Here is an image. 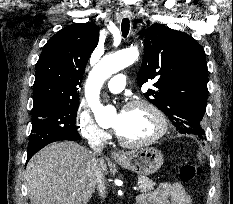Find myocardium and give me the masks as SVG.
<instances>
[{"instance_id": "f54148a6", "label": "myocardium", "mask_w": 233, "mask_h": 204, "mask_svg": "<svg viewBox=\"0 0 233 204\" xmlns=\"http://www.w3.org/2000/svg\"><path fill=\"white\" fill-rule=\"evenodd\" d=\"M135 107H145L152 112V114L156 117L159 123V128L157 132L153 134L151 137L139 141H130L124 139L118 134H116V137L118 141L126 147L139 148V147L150 146L156 143L157 141H159L161 138H163L166 135L169 127L168 119L166 115L163 113V111L157 105H155L153 102L147 99L139 98V99L131 100L125 105L124 108L131 109Z\"/></svg>"}]
</instances>
